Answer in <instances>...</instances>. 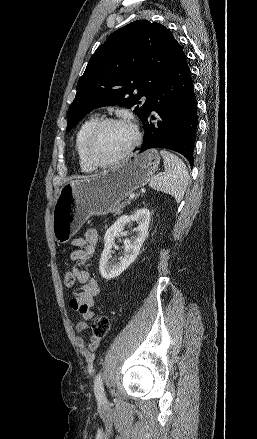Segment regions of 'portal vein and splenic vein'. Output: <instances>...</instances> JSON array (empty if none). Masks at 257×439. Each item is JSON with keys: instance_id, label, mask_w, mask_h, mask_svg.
Here are the masks:
<instances>
[{"instance_id": "portal-vein-and-splenic-vein-1", "label": "portal vein and splenic vein", "mask_w": 257, "mask_h": 439, "mask_svg": "<svg viewBox=\"0 0 257 439\" xmlns=\"http://www.w3.org/2000/svg\"><path fill=\"white\" fill-rule=\"evenodd\" d=\"M135 197H136L135 194H130V195H129V199H134Z\"/></svg>"}]
</instances>
